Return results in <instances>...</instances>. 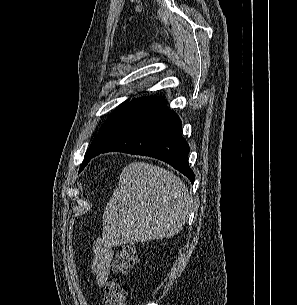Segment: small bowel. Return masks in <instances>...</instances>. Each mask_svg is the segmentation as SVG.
<instances>
[{
  "instance_id": "obj_1",
  "label": "small bowel",
  "mask_w": 297,
  "mask_h": 305,
  "mask_svg": "<svg viewBox=\"0 0 297 305\" xmlns=\"http://www.w3.org/2000/svg\"><path fill=\"white\" fill-rule=\"evenodd\" d=\"M113 250V242L108 237L99 238L93 244L91 250V268L95 282L100 287L109 279Z\"/></svg>"
}]
</instances>
